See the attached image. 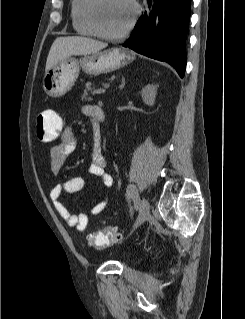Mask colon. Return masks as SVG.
<instances>
[{
	"label": "colon",
	"instance_id": "1",
	"mask_svg": "<svg viewBox=\"0 0 245 319\" xmlns=\"http://www.w3.org/2000/svg\"><path fill=\"white\" fill-rule=\"evenodd\" d=\"M63 131V121L54 111L40 113L36 120L37 137L41 142L56 141ZM121 239V235L114 227L94 230L87 236L88 243L96 248L104 249L112 246Z\"/></svg>",
	"mask_w": 245,
	"mask_h": 319
}]
</instances>
